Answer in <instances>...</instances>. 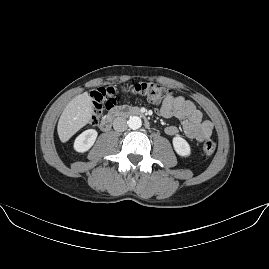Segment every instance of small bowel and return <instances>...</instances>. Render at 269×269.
<instances>
[{
	"label": "small bowel",
	"mask_w": 269,
	"mask_h": 269,
	"mask_svg": "<svg viewBox=\"0 0 269 269\" xmlns=\"http://www.w3.org/2000/svg\"><path fill=\"white\" fill-rule=\"evenodd\" d=\"M158 113L164 118L179 119L185 135L191 140L204 142L213 133V124L209 120H204L195 104L183 96H168L158 109ZM177 132L178 129L175 126L166 128L168 135L174 136Z\"/></svg>",
	"instance_id": "c3829d8e"
}]
</instances>
